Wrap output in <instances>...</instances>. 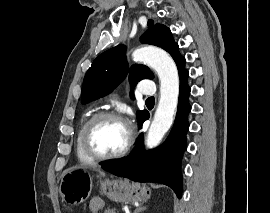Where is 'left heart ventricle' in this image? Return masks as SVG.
Here are the masks:
<instances>
[{
	"mask_svg": "<svg viewBox=\"0 0 270 213\" xmlns=\"http://www.w3.org/2000/svg\"><path fill=\"white\" fill-rule=\"evenodd\" d=\"M127 138V125L118 120L108 119L95 128L91 136V144L97 153L109 155L123 149Z\"/></svg>",
	"mask_w": 270,
	"mask_h": 213,
	"instance_id": "b2bd125f",
	"label": "left heart ventricle"
}]
</instances>
